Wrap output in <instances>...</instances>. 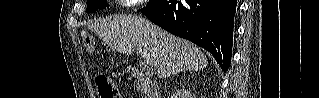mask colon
<instances>
[{
    "label": "colon",
    "instance_id": "1",
    "mask_svg": "<svg viewBox=\"0 0 319 98\" xmlns=\"http://www.w3.org/2000/svg\"><path fill=\"white\" fill-rule=\"evenodd\" d=\"M81 38L83 45L88 52H94L96 50L94 37L89 30H83L81 32ZM95 84L97 86L100 98H118V94L111 80L107 76L98 75L95 78Z\"/></svg>",
    "mask_w": 319,
    "mask_h": 98
}]
</instances>
